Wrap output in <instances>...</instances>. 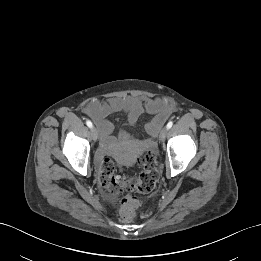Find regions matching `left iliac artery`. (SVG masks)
<instances>
[{"mask_svg":"<svg viewBox=\"0 0 261 261\" xmlns=\"http://www.w3.org/2000/svg\"><path fill=\"white\" fill-rule=\"evenodd\" d=\"M172 125H173V122H172V121H169V122L167 123V126H166V127H167L168 129H170V128L172 127Z\"/></svg>","mask_w":261,"mask_h":261,"instance_id":"44dca946","label":"left iliac artery"}]
</instances>
